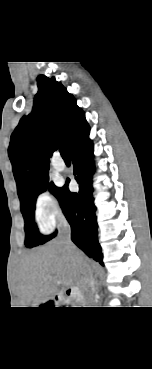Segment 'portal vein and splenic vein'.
<instances>
[{"instance_id": "obj_1", "label": "portal vein and splenic vein", "mask_w": 152, "mask_h": 369, "mask_svg": "<svg viewBox=\"0 0 152 369\" xmlns=\"http://www.w3.org/2000/svg\"><path fill=\"white\" fill-rule=\"evenodd\" d=\"M56 284L60 285L61 284V280H56Z\"/></svg>"}]
</instances>
